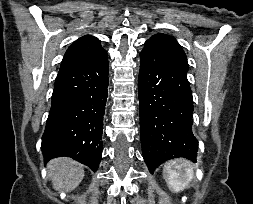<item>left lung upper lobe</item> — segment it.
Listing matches in <instances>:
<instances>
[{
    "label": "left lung upper lobe",
    "mask_w": 253,
    "mask_h": 204,
    "mask_svg": "<svg viewBox=\"0 0 253 204\" xmlns=\"http://www.w3.org/2000/svg\"><path fill=\"white\" fill-rule=\"evenodd\" d=\"M145 47L159 49L162 53L170 55L182 62L188 69L187 57L174 37L161 33L156 34L145 42Z\"/></svg>",
    "instance_id": "5c2ea615"
}]
</instances>
